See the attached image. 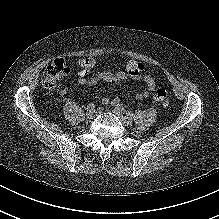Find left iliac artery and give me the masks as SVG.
I'll return each mask as SVG.
<instances>
[{
	"label": "left iliac artery",
	"instance_id": "1",
	"mask_svg": "<svg viewBox=\"0 0 219 219\" xmlns=\"http://www.w3.org/2000/svg\"><path fill=\"white\" fill-rule=\"evenodd\" d=\"M117 106L120 108V110L122 111V112H125V108H124V106L122 105V104H117ZM130 117L132 116V114H128Z\"/></svg>",
	"mask_w": 219,
	"mask_h": 219
}]
</instances>
